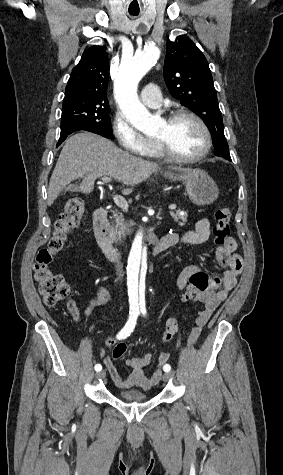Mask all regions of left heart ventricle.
<instances>
[{
    "label": "left heart ventricle",
    "instance_id": "b2bd125f",
    "mask_svg": "<svg viewBox=\"0 0 283 475\" xmlns=\"http://www.w3.org/2000/svg\"><path fill=\"white\" fill-rule=\"evenodd\" d=\"M154 138L163 140L174 156L185 158L202 149L204 132L195 120L182 117L171 123L164 120Z\"/></svg>",
    "mask_w": 283,
    "mask_h": 475
}]
</instances>
